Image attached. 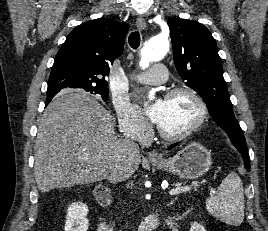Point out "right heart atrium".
<instances>
[{
    "label": "right heart atrium",
    "mask_w": 268,
    "mask_h": 231,
    "mask_svg": "<svg viewBox=\"0 0 268 231\" xmlns=\"http://www.w3.org/2000/svg\"><path fill=\"white\" fill-rule=\"evenodd\" d=\"M121 132L130 138H141L150 131V126L138 110L127 100L120 99L115 102Z\"/></svg>",
    "instance_id": "1"
}]
</instances>
